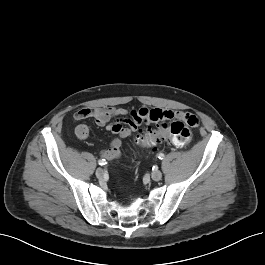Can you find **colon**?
Instances as JSON below:
<instances>
[{
    "instance_id": "5ec220e1",
    "label": "colon",
    "mask_w": 265,
    "mask_h": 265,
    "mask_svg": "<svg viewBox=\"0 0 265 265\" xmlns=\"http://www.w3.org/2000/svg\"><path fill=\"white\" fill-rule=\"evenodd\" d=\"M167 119L162 110H149L148 120L152 123H159ZM198 125V119L189 117L187 122L180 120L170 123H159L157 128L140 132L136 135V142L144 146H156L162 140H169L172 144L180 147L187 146L193 139L192 127Z\"/></svg>"
}]
</instances>
